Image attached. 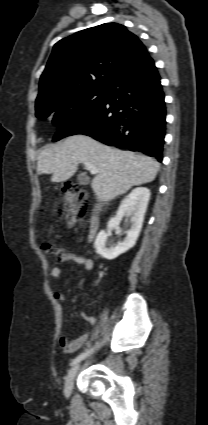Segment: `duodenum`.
Returning <instances> with one entry per match:
<instances>
[{
    "instance_id": "duodenum-1",
    "label": "duodenum",
    "mask_w": 208,
    "mask_h": 425,
    "mask_svg": "<svg viewBox=\"0 0 208 425\" xmlns=\"http://www.w3.org/2000/svg\"><path fill=\"white\" fill-rule=\"evenodd\" d=\"M98 229V217L96 214H92L89 219V227H88V240H91Z\"/></svg>"
}]
</instances>
